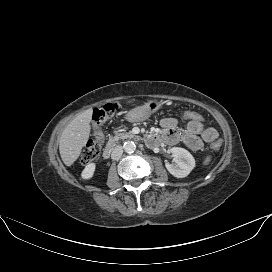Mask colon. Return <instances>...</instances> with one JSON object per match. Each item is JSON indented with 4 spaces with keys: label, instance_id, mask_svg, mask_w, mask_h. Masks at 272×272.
<instances>
[{
    "label": "colon",
    "instance_id": "obj_1",
    "mask_svg": "<svg viewBox=\"0 0 272 272\" xmlns=\"http://www.w3.org/2000/svg\"><path fill=\"white\" fill-rule=\"evenodd\" d=\"M117 110V105L106 104L98 109H95L93 113V122L96 130L94 138L89 140L85 145L82 154L81 162L83 164H89L97 159L101 153L104 135L102 132V126L113 116ZM178 117L183 121H203L204 117L202 114L196 111L182 110L178 113ZM221 146L220 140H215L211 144L213 150H218Z\"/></svg>",
    "mask_w": 272,
    "mask_h": 272
}]
</instances>
